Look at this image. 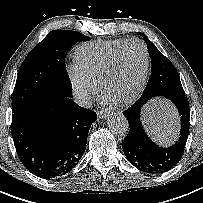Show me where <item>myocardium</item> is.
I'll return each mask as SVG.
<instances>
[{"mask_svg":"<svg viewBox=\"0 0 203 203\" xmlns=\"http://www.w3.org/2000/svg\"><path fill=\"white\" fill-rule=\"evenodd\" d=\"M131 43H138L142 46L144 55H145V65H144V70H143L141 79H140L136 89L133 91V93L125 99L115 101L117 104H120V105H128V104L133 103L140 96V94L142 93V91L145 88L148 74H149V69H150V53H149V49H148L147 45L145 44V42H143L141 39H138V38H130V39H127L125 42H123L112 55L111 59L109 60L108 64L106 65V67L101 75V78H100L101 91L104 94H106L108 81L116 69L121 52L127 45H129Z\"/></svg>","mask_w":203,"mask_h":203,"instance_id":"f54148a6","label":"myocardium"}]
</instances>
